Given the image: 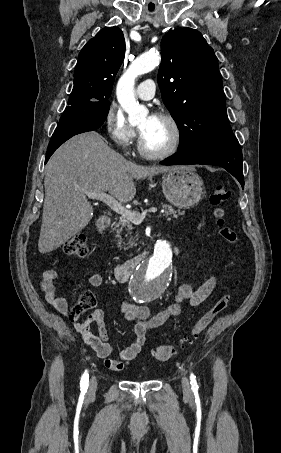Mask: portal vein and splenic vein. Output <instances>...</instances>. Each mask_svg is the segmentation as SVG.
<instances>
[{
	"mask_svg": "<svg viewBox=\"0 0 281 453\" xmlns=\"http://www.w3.org/2000/svg\"><path fill=\"white\" fill-rule=\"evenodd\" d=\"M85 194H87L88 198H96V200H102L105 204H108L112 210L121 214L123 218H127V220H131V222H142L143 218H145L146 212L149 214H154L157 208H146L143 210L142 214L137 212V210H130V208H125L122 206L121 202H118L114 196L111 194H107V192H98V190H85Z\"/></svg>",
	"mask_w": 281,
	"mask_h": 453,
	"instance_id": "18ae733b",
	"label": "portal vein and splenic vein"
}]
</instances>
